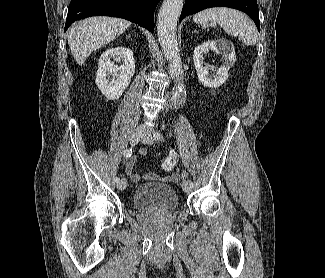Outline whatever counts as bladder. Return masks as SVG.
<instances>
[{
	"label": "bladder",
	"mask_w": 325,
	"mask_h": 278,
	"mask_svg": "<svg viewBox=\"0 0 325 278\" xmlns=\"http://www.w3.org/2000/svg\"><path fill=\"white\" fill-rule=\"evenodd\" d=\"M136 208L150 212L173 211L179 205L174 187L168 184L149 182L137 186L133 195Z\"/></svg>",
	"instance_id": "bladder-1"
}]
</instances>
